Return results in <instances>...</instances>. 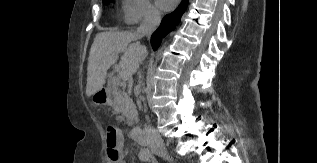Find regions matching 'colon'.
<instances>
[{
	"mask_svg": "<svg viewBox=\"0 0 317 163\" xmlns=\"http://www.w3.org/2000/svg\"><path fill=\"white\" fill-rule=\"evenodd\" d=\"M120 136L118 131L113 127L106 129V146L107 154L111 162H117L120 158L119 150Z\"/></svg>",
	"mask_w": 317,
	"mask_h": 163,
	"instance_id": "1",
	"label": "colon"
}]
</instances>
